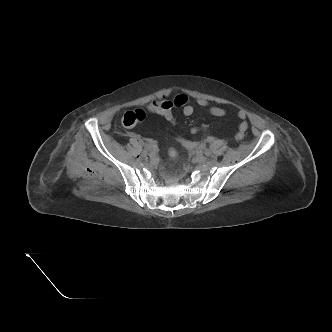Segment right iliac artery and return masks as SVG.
Instances as JSON below:
<instances>
[{"mask_svg": "<svg viewBox=\"0 0 332 332\" xmlns=\"http://www.w3.org/2000/svg\"><path fill=\"white\" fill-rule=\"evenodd\" d=\"M152 144H150V143H143V148L145 149V150H151L152 149Z\"/></svg>", "mask_w": 332, "mask_h": 332, "instance_id": "right-iliac-artery-1", "label": "right iliac artery"}]
</instances>
